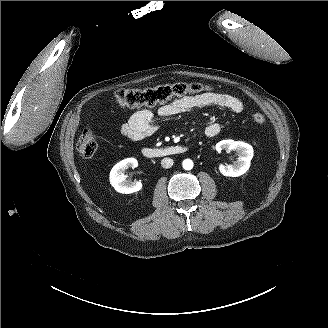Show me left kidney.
Instances as JSON below:
<instances>
[{"label": "left kidney", "mask_w": 328, "mask_h": 328, "mask_svg": "<svg viewBox=\"0 0 328 328\" xmlns=\"http://www.w3.org/2000/svg\"><path fill=\"white\" fill-rule=\"evenodd\" d=\"M215 149L217 152H221L225 149L227 151H236L238 154V159L234 164L219 165V171L222 175L238 177L248 171L253 157V147L250 144L227 139L218 142Z\"/></svg>", "instance_id": "obj_1"}]
</instances>
